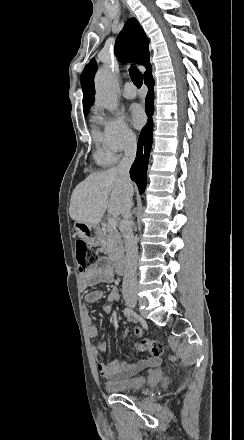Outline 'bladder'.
Segmentation results:
<instances>
[{"label":"bladder","instance_id":"1","mask_svg":"<svg viewBox=\"0 0 244 440\" xmlns=\"http://www.w3.org/2000/svg\"><path fill=\"white\" fill-rule=\"evenodd\" d=\"M144 377H132L123 382H114L109 381L106 382V387L109 392H126V391H135L140 390L144 383Z\"/></svg>","mask_w":244,"mask_h":440}]
</instances>
